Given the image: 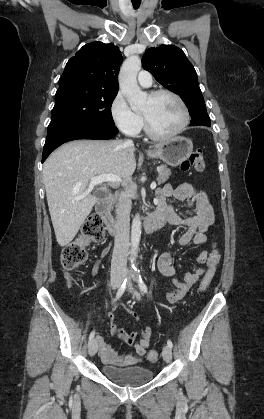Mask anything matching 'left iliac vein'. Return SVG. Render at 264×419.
Here are the masks:
<instances>
[{
    "label": "left iliac vein",
    "instance_id": "1",
    "mask_svg": "<svg viewBox=\"0 0 264 419\" xmlns=\"http://www.w3.org/2000/svg\"><path fill=\"white\" fill-rule=\"evenodd\" d=\"M128 290H129V292L134 293V295L138 299L140 298V294L132 287V284L131 283L128 284ZM162 356H163V359L166 362H170L171 361V359H172V349L168 345L163 348Z\"/></svg>",
    "mask_w": 264,
    "mask_h": 419
}]
</instances>
